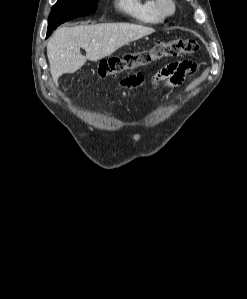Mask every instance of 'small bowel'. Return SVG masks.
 Wrapping results in <instances>:
<instances>
[{"mask_svg":"<svg viewBox=\"0 0 247 299\" xmlns=\"http://www.w3.org/2000/svg\"><path fill=\"white\" fill-rule=\"evenodd\" d=\"M196 69L195 63L191 61H181L168 64L159 70L151 79L153 87H176L184 79L191 75ZM143 78L141 75H131L122 80L121 85L125 88L136 87L141 84Z\"/></svg>","mask_w":247,"mask_h":299,"instance_id":"small-bowel-1","label":"small bowel"}]
</instances>
